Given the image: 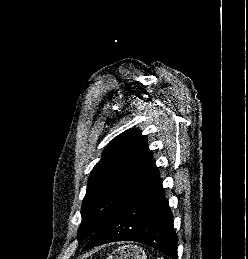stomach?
Listing matches in <instances>:
<instances>
[{"label": "stomach", "mask_w": 248, "mask_h": 259, "mask_svg": "<svg viewBox=\"0 0 248 259\" xmlns=\"http://www.w3.org/2000/svg\"><path fill=\"white\" fill-rule=\"evenodd\" d=\"M107 259H147V256L141 247L128 244L117 248Z\"/></svg>", "instance_id": "1"}]
</instances>
